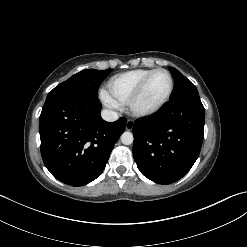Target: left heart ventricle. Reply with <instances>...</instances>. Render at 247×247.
Returning a JSON list of instances; mask_svg holds the SVG:
<instances>
[{
  "label": "left heart ventricle",
  "mask_w": 247,
  "mask_h": 247,
  "mask_svg": "<svg viewBox=\"0 0 247 247\" xmlns=\"http://www.w3.org/2000/svg\"><path fill=\"white\" fill-rule=\"evenodd\" d=\"M169 84V78L165 73L159 72L155 74L148 82L137 106L144 109L158 104L167 94Z\"/></svg>",
  "instance_id": "b2bd125f"
}]
</instances>
